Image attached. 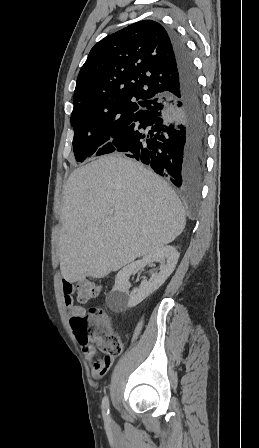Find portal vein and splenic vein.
<instances>
[{
	"label": "portal vein and splenic vein",
	"instance_id": "portal-vein-and-splenic-vein-1",
	"mask_svg": "<svg viewBox=\"0 0 259 448\" xmlns=\"http://www.w3.org/2000/svg\"><path fill=\"white\" fill-rule=\"evenodd\" d=\"M108 214H110V216H111V214H114V210H110V212H108Z\"/></svg>",
	"mask_w": 259,
	"mask_h": 448
}]
</instances>
